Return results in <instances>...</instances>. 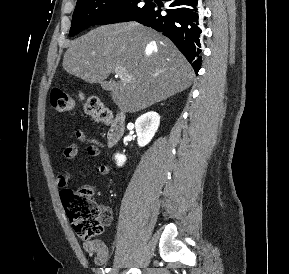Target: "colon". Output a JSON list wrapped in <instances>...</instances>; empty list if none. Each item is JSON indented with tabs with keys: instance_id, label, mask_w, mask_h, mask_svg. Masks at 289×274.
<instances>
[{
	"instance_id": "5ec220e1",
	"label": "colon",
	"mask_w": 289,
	"mask_h": 274,
	"mask_svg": "<svg viewBox=\"0 0 289 274\" xmlns=\"http://www.w3.org/2000/svg\"><path fill=\"white\" fill-rule=\"evenodd\" d=\"M50 103L59 112L71 111L75 107V100L62 89H52ZM85 113L98 123H108L111 119L110 111L97 97H82ZM94 191L90 186H82L76 191L66 189L61 193L62 202L78 236L85 240L104 233L113 219L112 211L93 198Z\"/></svg>"
}]
</instances>
